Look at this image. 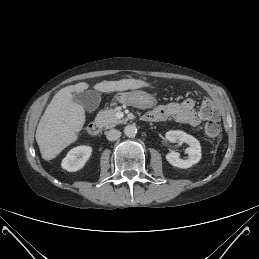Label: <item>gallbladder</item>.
Masks as SVG:
<instances>
[{
  "mask_svg": "<svg viewBox=\"0 0 259 259\" xmlns=\"http://www.w3.org/2000/svg\"><path fill=\"white\" fill-rule=\"evenodd\" d=\"M73 100L83 104V109L86 112H93L99 106L100 94L95 91L78 92L73 94Z\"/></svg>",
  "mask_w": 259,
  "mask_h": 259,
  "instance_id": "1",
  "label": "gallbladder"
}]
</instances>
